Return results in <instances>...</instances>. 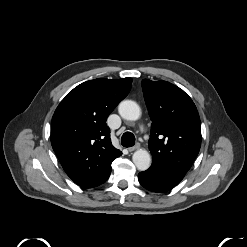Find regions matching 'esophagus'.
<instances>
[{
  "instance_id": "obj_1",
  "label": "esophagus",
  "mask_w": 247,
  "mask_h": 247,
  "mask_svg": "<svg viewBox=\"0 0 247 247\" xmlns=\"http://www.w3.org/2000/svg\"><path fill=\"white\" fill-rule=\"evenodd\" d=\"M139 147H140V144H139V143H137V144H136V145H134L133 147H129V148H128V151L132 152V151H134V150L138 149Z\"/></svg>"
}]
</instances>
